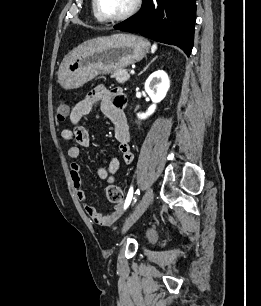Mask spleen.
I'll list each match as a JSON object with an SVG mask.
<instances>
[{"label": "spleen", "mask_w": 261, "mask_h": 306, "mask_svg": "<svg viewBox=\"0 0 261 306\" xmlns=\"http://www.w3.org/2000/svg\"><path fill=\"white\" fill-rule=\"evenodd\" d=\"M157 50V44L154 43L151 47V52L154 53Z\"/></svg>", "instance_id": "obj_1"}]
</instances>
